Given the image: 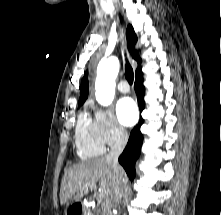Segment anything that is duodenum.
<instances>
[{
    "instance_id": "duodenum-1",
    "label": "duodenum",
    "mask_w": 221,
    "mask_h": 215,
    "mask_svg": "<svg viewBox=\"0 0 221 215\" xmlns=\"http://www.w3.org/2000/svg\"><path fill=\"white\" fill-rule=\"evenodd\" d=\"M86 207L82 204H76L74 205L71 215H84Z\"/></svg>"
}]
</instances>
